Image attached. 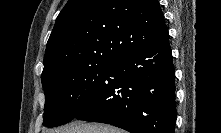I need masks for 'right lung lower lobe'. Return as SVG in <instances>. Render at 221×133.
<instances>
[{
    "instance_id": "right-lung-lower-lobe-1",
    "label": "right lung lower lobe",
    "mask_w": 221,
    "mask_h": 133,
    "mask_svg": "<svg viewBox=\"0 0 221 133\" xmlns=\"http://www.w3.org/2000/svg\"><path fill=\"white\" fill-rule=\"evenodd\" d=\"M175 71L169 39L122 55L79 109L78 120L131 133H174Z\"/></svg>"
}]
</instances>
